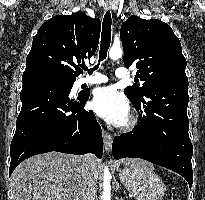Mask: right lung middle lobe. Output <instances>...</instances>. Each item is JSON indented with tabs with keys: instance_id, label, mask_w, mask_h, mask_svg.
I'll return each instance as SVG.
<instances>
[{
	"instance_id": "1",
	"label": "right lung middle lobe",
	"mask_w": 205,
	"mask_h": 200,
	"mask_svg": "<svg viewBox=\"0 0 205 200\" xmlns=\"http://www.w3.org/2000/svg\"><path fill=\"white\" fill-rule=\"evenodd\" d=\"M62 78H63V77H62ZM63 79H64V80H66L67 82L72 83V84H73V83H74V81H75V80H72V79H67V78H63Z\"/></svg>"
}]
</instances>
